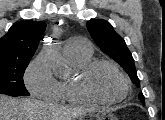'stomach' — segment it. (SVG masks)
Instances as JSON below:
<instances>
[{
    "mask_svg": "<svg viewBox=\"0 0 165 120\" xmlns=\"http://www.w3.org/2000/svg\"><path fill=\"white\" fill-rule=\"evenodd\" d=\"M90 118V120H93L94 118L96 120H118V118L113 115L112 113L106 112V111H100V110H93L90 112H87L84 117H81L79 120H85Z\"/></svg>",
    "mask_w": 165,
    "mask_h": 120,
    "instance_id": "stomach-1",
    "label": "stomach"
}]
</instances>
